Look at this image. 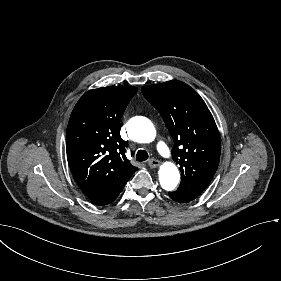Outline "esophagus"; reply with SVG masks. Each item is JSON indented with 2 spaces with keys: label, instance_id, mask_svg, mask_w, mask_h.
I'll list each match as a JSON object with an SVG mask.
<instances>
[{
  "label": "esophagus",
  "instance_id": "34e87169",
  "mask_svg": "<svg viewBox=\"0 0 281 281\" xmlns=\"http://www.w3.org/2000/svg\"><path fill=\"white\" fill-rule=\"evenodd\" d=\"M160 164H161L160 161H158L156 159H151L148 162V165H149L150 168H157Z\"/></svg>",
  "mask_w": 281,
  "mask_h": 281
}]
</instances>
